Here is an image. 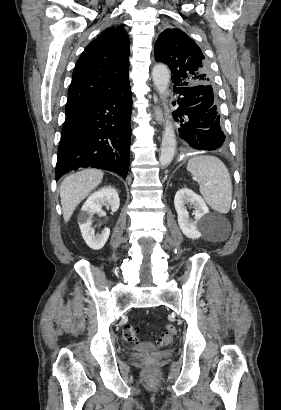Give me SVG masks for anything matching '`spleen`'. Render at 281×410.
<instances>
[{"mask_svg":"<svg viewBox=\"0 0 281 410\" xmlns=\"http://www.w3.org/2000/svg\"><path fill=\"white\" fill-rule=\"evenodd\" d=\"M187 170L200 183V193L216 212L227 214L232 201V183L228 169L215 156L202 155L191 158Z\"/></svg>","mask_w":281,"mask_h":410,"instance_id":"1","label":"spleen"}]
</instances>
